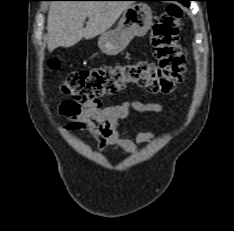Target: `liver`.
<instances>
[{
	"mask_svg": "<svg viewBox=\"0 0 234 231\" xmlns=\"http://www.w3.org/2000/svg\"><path fill=\"white\" fill-rule=\"evenodd\" d=\"M131 1H55L50 4L48 50L71 47L82 38H94L112 27ZM88 22L84 28L85 19Z\"/></svg>",
	"mask_w": 234,
	"mask_h": 231,
	"instance_id": "6515ba94",
	"label": "liver"
}]
</instances>
